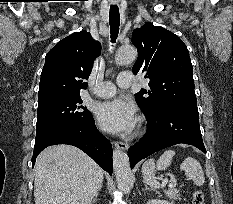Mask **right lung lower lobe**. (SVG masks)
Returning <instances> with one entry per match:
<instances>
[{
  "instance_id": "obj_1",
  "label": "right lung lower lobe",
  "mask_w": 233,
  "mask_h": 204,
  "mask_svg": "<svg viewBox=\"0 0 233 204\" xmlns=\"http://www.w3.org/2000/svg\"><path fill=\"white\" fill-rule=\"evenodd\" d=\"M68 144L78 147L89 155L102 169L112 175V147L110 141L96 128L93 117L79 125L65 127L35 139L32 167L37 155L46 147Z\"/></svg>"
}]
</instances>
